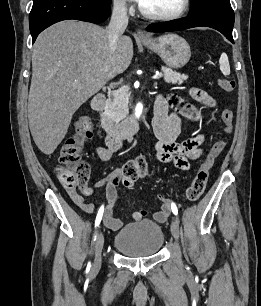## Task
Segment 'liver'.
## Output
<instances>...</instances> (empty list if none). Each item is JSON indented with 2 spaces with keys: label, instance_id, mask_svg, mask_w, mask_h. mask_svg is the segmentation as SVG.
<instances>
[{
  "label": "liver",
  "instance_id": "obj_1",
  "mask_svg": "<svg viewBox=\"0 0 261 306\" xmlns=\"http://www.w3.org/2000/svg\"><path fill=\"white\" fill-rule=\"evenodd\" d=\"M133 58V42L120 36L110 51L106 29L76 20L58 22L37 38L32 54L28 120L33 140L51 155L76 110Z\"/></svg>",
  "mask_w": 261,
  "mask_h": 306
}]
</instances>
